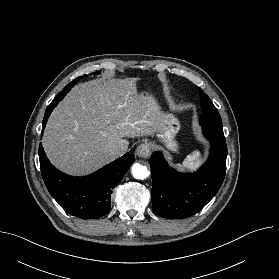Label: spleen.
Returning <instances> with one entry per match:
<instances>
[{"label": "spleen", "mask_w": 279, "mask_h": 279, "mask_svg": "<svg viewBox=\"0 0 279 279\" xmlns=\"http://www.w3.org/2000/svg\"><path fill=\"white\" fill-rule=\"evenodd\" d=\"M199 157L200 153L198 151L194 152L191 155H188L187 158L184 160V166L194 168Z\"/></svg>", "instance_id": "spleen-1"}]
</instances>
